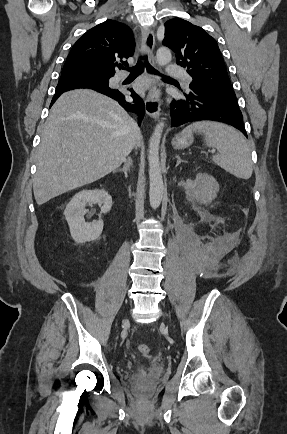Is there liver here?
<instances>
[{
	"mask_svg": "<svg viewBox=\"0 0 287 434\" xmlns=\"http://www.w3.org/2000/svg\"><path fill=\"white\" fill-rule=\"evenodd\" d=\"M135 121L113 99L87 89L63 93L50 110L37 154L36 203L115 171L135 146Z\"/></svg>",
	"mask_w": 287,
	"mask_h": 434,
	"instance_id": "obj_1",
	"label": "liver"
}]
</instances>
